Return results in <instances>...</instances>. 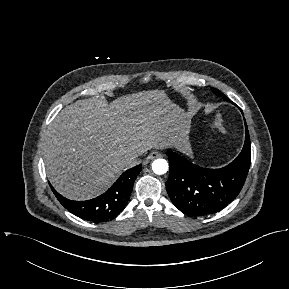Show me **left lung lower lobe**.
Returning a JSON list of instances; mask_svg holds the SVG:
<instances>
[{
  "instance_id": "1",
  "label": "left lung lower lobe",
  "mask_w": 289,
  "mask_h": 289,
  "mask_svg": "<svg viewBox=\"0 0 289 289\" xmlns=\"http://www.w3.org/2000/svg\"><path fill=\"white\" fill-rule=\"evenodd\" d=\"M245 143L238 157L221 169H206L167 151L169 179L166 189L173 204L188 216L215 213L233 201L241 191L251 163V146L245 122Z\"/></svg>"
}]
</instances>
